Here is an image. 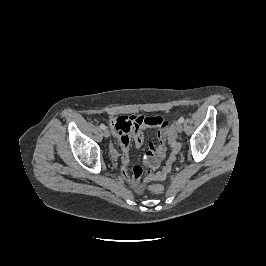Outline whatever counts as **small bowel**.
Listing matches in <instances>:
<instances>
[{"label": "small bowel", "mask_w": 266, "mask_h": 266, "mask_svg": "<svg viewBox=\"0 0 266 266\" xmlns=\"http://www.w3.org/2000/svg\"><path fill=\"white\" fill-rule=\"evenodd\" d=\"M110 125L121 149L120 153L114 151L115 156H120L121 175L135 191L141 192L143 190V184L140 181L143 174L142 167H134L132 174L128 171L131 142L141 147L144 143L142 129L145 127L157 129V143H150L149 150L144 156L145 166L150 170L157 169L166 156L168 121L161 117L120 116L112 119Z\"/></svg>", "instance_id": "c3829d8e"}]
</instances>
